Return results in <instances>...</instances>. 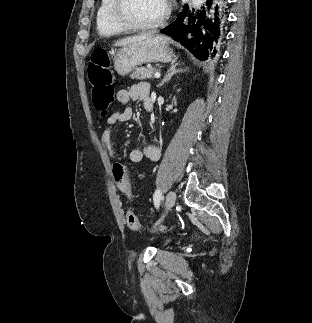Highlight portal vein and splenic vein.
I'll use <instances>...</instances> for the list:
<instances>
[{"label": "portal vein and splenic vein", "instance_id": "1", "mask_svg": "<svg viewBox=\"0 0 312 323\" xmlns=\"http://www.w3.org/2000/svg\"><path fill=\"white\" fill-rule=\"evenodd\" d=\"M154 76H155V78H160L161 74H160V72H155Z\"/></svg>", "mask_w": 312, "mask_h": 323}]
</instances>
